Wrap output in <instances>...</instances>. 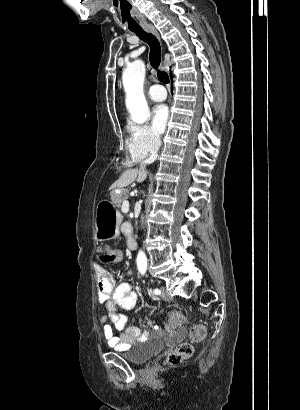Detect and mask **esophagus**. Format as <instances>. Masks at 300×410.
<instances>
[{"instance_id": "esophagus-1", "label": "esophagus", "mask_w": 300, "mask_h": 410, "mask_svg": "<svg viewBox=\"0 0 300 410\" xmlns=\"http://www.w3.org/2000/svg\"><path fill=\"white\" fill-rule=\"evenodd\" d=\"M145 30L155 35L160 40V35L157 29L153 25H146L144 26Z\"/></svg>"}]
</instances>
